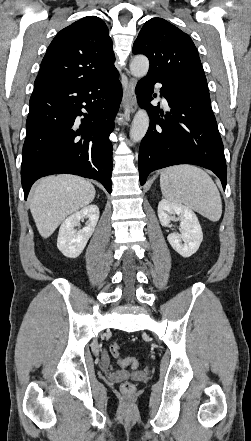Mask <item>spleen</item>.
<instances>
[{"label":"spleen","mask_w":251,"mask_h":441,"mask_svg":"<svg viewBox=\"0 0 251 441\" xmlns=\"http://www.w3.org/2000/svg\"><path fill=\"white\" fill-rule=\"evenodd\" d=\"M160 188L165 199L183 203L212 222L222 214L220 193L212 178L193 165H176L161 172Z\"/></svg>","instance_id":"spleen-1"}]
</instances>
